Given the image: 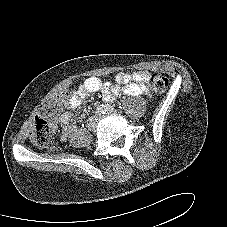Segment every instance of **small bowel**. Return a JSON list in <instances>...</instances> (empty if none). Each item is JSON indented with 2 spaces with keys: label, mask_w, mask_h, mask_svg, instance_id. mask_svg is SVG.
I'll return each instance as SVG.
<instances>
[{
  "label": "small bowel",
  "mask_w": 227,
  "mask_h": 227,
  "mask_svg": "<svg viewBox=\"0 0 227 227\" xmlns=\"http://www.w3.org/2000/svg\"><path fill=\"white\" fill-rule=\"evenodd\" d=\"M150 73L137 71L134 73L120 72L115 76V83L102 82L97 77L85 79L77 89L73 90L66 101L68 109L78 108L82 100L89 94L101 91L103 99L107 102L114 101L120 95L139 96L150 91L148 84ZM72 113L64 111L54 119V124L61 127V139L67 140L71 134Z\"/></svg>",
  "instance_id": "c3829d8e"
}]
</instances>
